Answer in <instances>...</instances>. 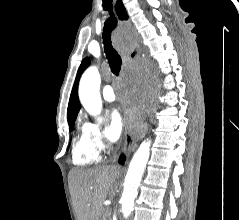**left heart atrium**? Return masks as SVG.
I'll use <instances>...</instances> for the list:
<instances>
[{
	"instance_id": "1",
	"label": "left heart atrium",
	"mask_w": 239,
	"mask_h": 220,
	"mask_svg": "<svg viewBox=\"0 0 239 220\" xmlns=\"http://www.w3.org/2000/svg\"><path fill=\"white\" fill-rule=\"evenodd\" d=\"M120 102L122 105V109L127 113L129 112L128 105L129 99L126 94H121ZM119 109H114L110 114V121L106 129V135L111 141H116L121 136L124 126L125 120L119 112Z\"/></svg>"
}]
</instances>
